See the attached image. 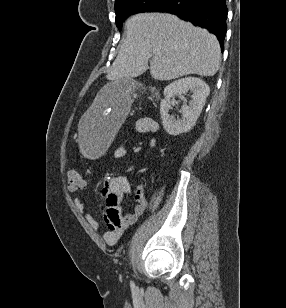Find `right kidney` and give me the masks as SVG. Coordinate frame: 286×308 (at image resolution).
<instances>
[{
  "instance_id": "obj_1",
  "label": "right kidney",
  "mask_w": 286,
  "mask_h": 308,
  "mask_svg": "<svg viewBox=\"0 0 286 308\" xmlns=\"http://www.w3.org/2000/svg\"><path fill=\"white\" fill-rule=\"evenodd\" d=\"M188 91L192 93L191 101L189 105L182 106V118L176 120L169 114L172 109L171 99L178 94H186ZM209 92V86L196 77H186L170 83L164 89V99L160 103V114L165 131L172 136L189 132L195 125Z\"/></svg>"
}]
</instances>
